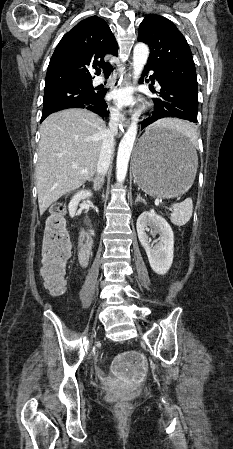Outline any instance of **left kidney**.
Segmentation results:
<instances>
[{
	"label": "left kidney",
	"mask_w": 233,
	"mask_h": 449,
	"mask_svg": "<svg viewBox=\"0 0 233 449\" xmlns=\"http://www.w3.org/2000/svg\"><path fill=\"white\" fill-rule=\"evenodd\" d=\"M148 227L151 234H159V242L153 247L146 233ZM138 238L146 251L152 270L164 275L170 269L173 262L174 234L168 222L153 211L143 212L136 223Z\"/></svg>",
	"instance_id": "obj_1"
}]
</instances>
